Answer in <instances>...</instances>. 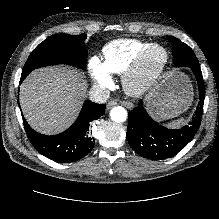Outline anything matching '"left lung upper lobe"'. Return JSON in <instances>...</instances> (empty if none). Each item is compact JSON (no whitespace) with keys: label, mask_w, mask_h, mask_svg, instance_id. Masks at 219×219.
<instances>
[{"label":"left lung upper lobe","mask_w":219,"mask_h":219,"mask_svg":"<svg viewBox=\"0 0 219 219\" xmlns=\"http://www.w3.org/2000/svg\"><path fill=\"white\" fill-rule=\"evenodd\" d=\"M173 48V63L177 67H200L193 50L175 37H167Z\"/></svg>","instance_id":"1"}]
</instances>
